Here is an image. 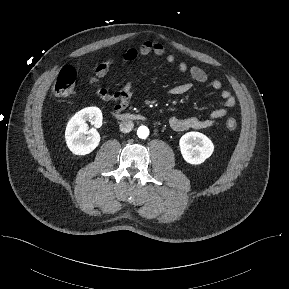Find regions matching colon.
Returning <instances> with one entry per match:
<instances>
[{
	"instance_id": "obj_1",
	"label": "colon",
	"mask_w": 289,
	"mask_h": 289,
	"mask_svg": "<svg viewBox=\"0 0 289 289\" xmlns=\"http://www.w3.org/2000/svg\"><path fill=\"white\" fill-rule=\"evenodd\" d=\"M76 71L71 66H65L59 73L58 78L53 86V94L58 98L71 96L75 90ZM225 126L229 131L237 128V121L234 117H228Z\"/></svg>"
}]
</instances>
